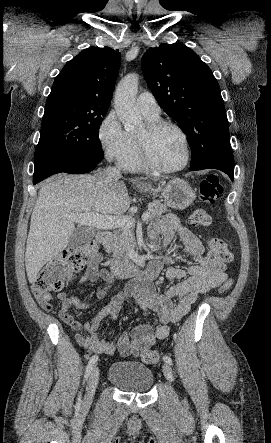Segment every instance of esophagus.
I'll list each match as a JSON object with an SVG mask.
<instances>
[{
	"label": "esophagus",
	"instance_id": "obj_1",
	"mask_svg": "<svg viewBox=\"0 0 271 443\" xmlns=\"http://www.w3.org/2000/svg\"><path fill=\"white\" fill-rule=\"evenodd\" d=\"M134 182H140L139 180H133Z\"/></svg>",
	"mask_w": 271,
	"mask_h": 443
}]
</instances>
